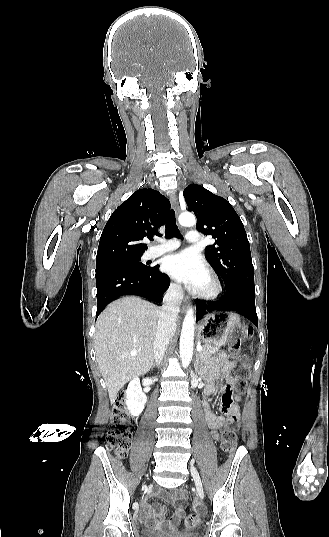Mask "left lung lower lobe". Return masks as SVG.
<instances>
[{"instance_id": "1", "label": "left lung lower lobe", "mask_w": 329, "mask_h": 537, "mask_svg": "<svg viewBox=\"0 0 329 537\" xmlns=\"http://www.w3.org/2000/svg\"><path fill=\"white\" fill-rule=\"evenodd\" d=\"M197 320L200 315L215 311H232L243 315L248 321L258 326L255 308L254 287L239 286L226 291L216 301L199 300L197 302Z\"/></svg>"}]
</instances>
